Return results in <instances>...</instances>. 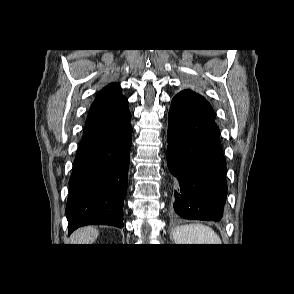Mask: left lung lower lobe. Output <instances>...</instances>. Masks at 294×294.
<instances>
[{"instance_id":"1","label":"left lung lower lobe","mask_w":294,"mask_h":294,"mask_svg":"<svg viewBox=\"0 0 294 294\" xmlns=\"http://www.w3.org/2000/svg\"><path fill=\"white\" fill-rule=\"evenodd\" d=\"M167 164L173 175V208L184 219L219 221L227 184L226 161L211 105L184 91L168 115Z\"/></svg>"}]
</instances>
